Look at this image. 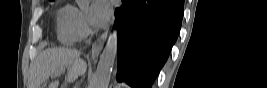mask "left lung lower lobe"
<instances>
[{
	"label": "left lung lower lobe",
	"instance_id": "obj_1",
	"mask_svg": "<svg viewBox=\"0 0 267 88\" xmlns=\"http://www.w3.org/2000/svg\"><path fill=\"white\" fill-rule=\"evenodd\" d=\"M115 10L118 28L117 80L151 88L175 43L183 0H122Z\"/></svg>",
	"mask_w": 267,
	"mask_h": 88
}]
</instances>
